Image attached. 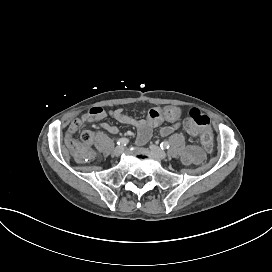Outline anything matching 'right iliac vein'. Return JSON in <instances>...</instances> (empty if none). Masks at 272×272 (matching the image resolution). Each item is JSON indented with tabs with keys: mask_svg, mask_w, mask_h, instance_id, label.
I'll return each instance as SVG.
<instances>
[{
	"mask_svg": "<svg viewBox=\"0 0 272 272\" xmlns=\"http://www.w3.org/2000/svg\"><path fill=\"white\" fill-rule=\"evenodd\" d=\"M124 151V147L122 146H117L114 150H113V155L114 156H120L122 154V152Z\"/></svg>",
	"mask_w": 272,
	"mask_h": 272,
	"instance_id": "63e3f726",
	"label": "right iliac vein"
}]
</instances>
